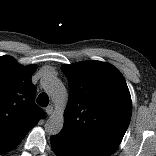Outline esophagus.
Wrapping results in <instances>:
<instances>
[{
  "instance_id": "obj_1",
  "label": "esophagus",
  "mask_w": 156,
  "mask_h": 156,
  "mask_svg": "<svg viewBox=\"0 0 156 156\" xmlns=\"http://www.w3.org/2000/svg\"><path fill=\"white\" fill-rule=\"evenodd\" d=\"M45 112L48 114V115H51L53 113V106L52 105H49L45 108Z\"/></svg>"
}]
</instances>
